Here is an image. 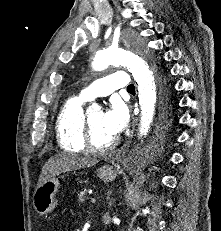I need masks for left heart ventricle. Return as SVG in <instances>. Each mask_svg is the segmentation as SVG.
Wrapping results in <instances>:
<instances>
[{
  "label": "left heart ventricle",
  "instance_id": "1",
  "mask_svg": "<svg viewBox=\"0 0 221 231\" xmlns=\"http://www.w3.org/2000/svg\"><path fill=\"white\" fill-rule=\"evenodd\" d=\"M88 116L93 141L97 146H106L115 139V136L105 130L103 126V113L101 111H93Z\"/></svg>",
  "mask_w": 221,
  "mask_h": 231
}]
</instances>
